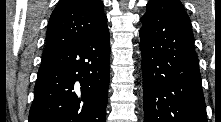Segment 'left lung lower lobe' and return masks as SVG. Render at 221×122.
I'll use <instances>...</instances> for the list:
<instances>
[{
	"mask_svg": "<svg viewBox=\"0 0 221 122\" xmlns=\"http://www.w3.org/2000/svg\"><path fill=\"white\" fill-rule=\"evenodd\" d=\"M144 122H207L190 19L179 0H150L141 17Z\"/></svg>",
	"mask_w": 221,
	"mask_h": 122,
	"instance_id": "left-lung-lower-lobe-1",
	"label": "left lung lower lobe"
}]
</instances>
